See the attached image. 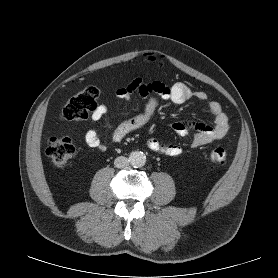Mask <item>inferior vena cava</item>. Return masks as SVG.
Listing matches in <instances>:
<instances>
[{
	"instance_id": "inferior-vena-cava-1",
	"label": "inferior vena cava",
	"mask_w": 278,
	"mask_h": 278,
	"mask_svg": "<svg viewBox=\"0 0 278 278\" xmlns=\"http://www.w3.org/2000/svg\"><path fill=\"white\" fill-rule=\"evenodd\" d=\"M114 165L117 168H125L129 165V159L124 156H119L114 160Z\"/></svg>"
}]
</instances>
